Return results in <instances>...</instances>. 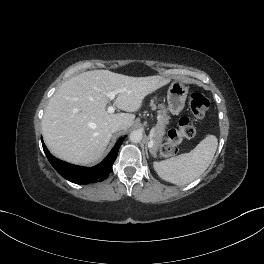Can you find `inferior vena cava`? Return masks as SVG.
Instances as JSON below:
<instances>
[{
	"instance_id": "602c4592",
	"label": "inferior vena cava",
	"mask_w": 264,
	"mask_h": 264,
	"mask_svg": "<svg viewBox=\"0 0 264 264\" xmlns=\"http://www.w3.org/2000/svg\"><path fill=\"white\" fill-rule=\"evenodd\" d=\"M124 129V125L122 123H116L112 126V131L116 132L118 130Z\"/></svg>"
}]
</instances>
